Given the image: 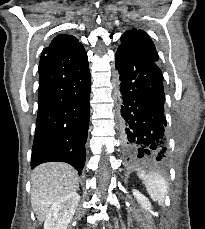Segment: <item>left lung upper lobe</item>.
Instances as JSON below:
<instances>
[{
    "label": "left lung upper lobe",
    "mask_w": 205,
    "mask_h": 229,
    "mask_svg": "<svg viewBox=\"0 0 205 229\" xmlns=\"http://www.w3.org/2000/svg\"><path fill=\"white\" fill-rule=\"evenodd\" d=\"M120 46H125L155 62L158 61V53L154 43L149 35L143 30L132 28L126 31L121 36Z\"/></svg>",
    "instance_id": "obj_1"
}]
</instances>
